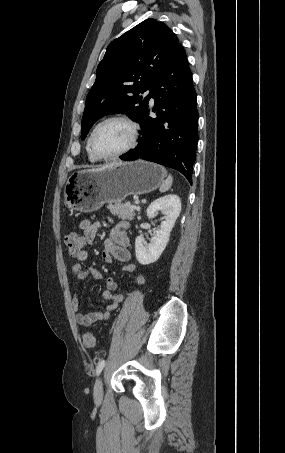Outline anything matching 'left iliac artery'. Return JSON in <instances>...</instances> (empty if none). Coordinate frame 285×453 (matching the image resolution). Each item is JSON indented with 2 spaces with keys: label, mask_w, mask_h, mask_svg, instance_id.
I'll return each mask as SVG.
<instances>
[{
  "label": "left iliac artery",
  "mask_w": 285,
  "mask_h": 453,
  "mask_svg": "<svg viewBox=\"0 0 285 453\" xmlns=\"http://www.w3.org/2000/svg\"><path fill=\"white\" fill-rule=\"evenodd\" d=\"M104 366H105V360H101V361L98 363L97 367H96V375H97V376L101 373V371H102V369L104 368Z\"/></svg>",
  "instance_id": "left-iliac-artery-1"
}]
</instances>
